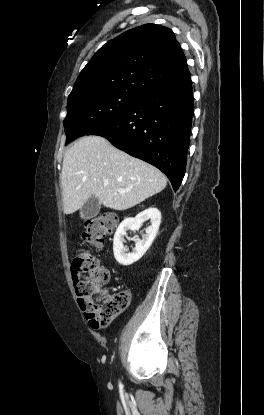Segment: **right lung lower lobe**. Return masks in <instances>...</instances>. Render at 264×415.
<instances>
[{"label": "right lung lower lobe", "mask_w": 264, "mask_h": 415, "mask_svg": "<svg viewBox=\"0 0 264 415\" xmlns=\"http://www.w3.org/2000/svg\"><path fill=\"white\" fill-rule=\"evenodd\" d=\"M193 111L189 76L147 93L125 113L87 135L102 136L159 168L177 190L186 170Z\"/></svg>", "instance_id": "right-lung-lower-lobe-1"}]
</instances>
